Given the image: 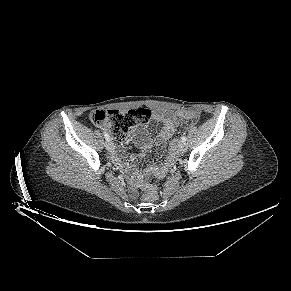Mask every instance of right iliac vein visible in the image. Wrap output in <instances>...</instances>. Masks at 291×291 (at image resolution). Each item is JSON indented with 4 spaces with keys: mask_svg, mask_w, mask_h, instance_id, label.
<instances>
[{
    "mask_svg": "<svg viewBox=\"0 0 291 291\" xmlns=\"http://www.w3.org/2000/svg\"><path fill=\"white\" fill-rule=\"evenodd\" d=\"M105 148L108 150V151H113L114 150V144L110 141H107L105 143Z\"/></svg>",
    "mask_w": 291,
    "mask_h": 291,
    "instance_id": "obj_1",
    "label": "right iliac vein"
}]
</instances>
